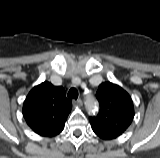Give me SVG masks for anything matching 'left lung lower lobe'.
<instances>
[{"label": "left lung lower lobe", "mask_w": 160, "mask_h": 158, "mask_svg": "<svg viewBox=\"0 0 160 158\" xmlns=\"http://www.w3.org/2000/svg\"><path fill=\"white\" fill-rule=\"evenodd\" d=\"M92 126V130L93 132L98 136L100 137L101 139H104V140H111V139H115L116 135L108 132V131H105L103 129H100L99 127L95 126V125H91Z\"/></svg>", "instance_id": "left-lung-lower-lobe-1"}]
</instances>
